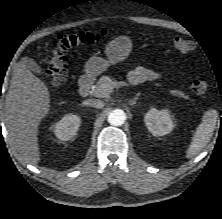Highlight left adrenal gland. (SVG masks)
<instances>
[{"mask_svg": "<svg viewBox=\"0 0 222 219\" xmlns=\"http://www.w3.org/2000/svg\"><path fill=\"white\" fill-rule=\"evenodd\" d=\"M139 96H140V93H137L136 97L133 100L129 101V104L132 105V106L135 105L137 100H138V98H139Z\"/></svg>", "mask_w": 222, "mask_h": 219, "instance_id": "obj_1", "label": "left adrenal gland"}]
</instances>
